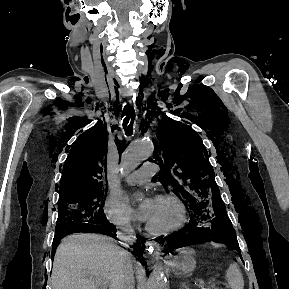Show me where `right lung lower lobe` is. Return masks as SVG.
Listing matches in <instances>:
<instances>
[{
    "label": "right lung lower lobe",
    "instance_id": "right-lung-lower-lobe-1",
    "mask_svg": "<svg viewBox=\"0 0 289 289\" xmlns=\"http://www.w3.org/2000/svg\"><path fill=\"white\" fill-rule=\"evenodd\" d=\"M75 232H96V233H101L105 234L108 236H111L116 239V228L113 224H111L106 218L99 220V221H92V222H87L80 224L76 228H74L71 233ZM64 236H56L53 241V253L52 257H54L56 247L58 246L59 241L63 238ZM139 239V238H138ZM145 245L141 244L140 241L138 243L134 244V249L138 253L137 256L142 258V252L144 251Z\"/></svg>",
    "mask_w": 289,
    "mask_h": 289
}]
</instances>
